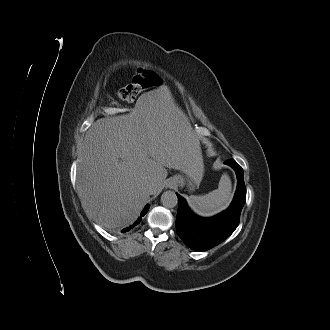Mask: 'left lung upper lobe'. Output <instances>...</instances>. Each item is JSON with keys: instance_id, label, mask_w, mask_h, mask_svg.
<instances>
[{"instance_id": "5c2ea615", "label": "left lung upper lobe", "mask_w": 330, "mask_h": 330, "mask_svg": "<svg viewBox=\"0 0 330 330\" xmlns=\"http://www.w3.org/2000/svg\"><path fill=\"white\" fill-rule=\"evenodd\" d=\"M245 200H246V196L244 195L242 201L245 202Z\"/></svg>"}]
</instances>
